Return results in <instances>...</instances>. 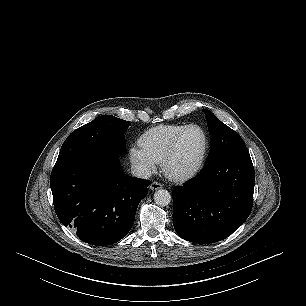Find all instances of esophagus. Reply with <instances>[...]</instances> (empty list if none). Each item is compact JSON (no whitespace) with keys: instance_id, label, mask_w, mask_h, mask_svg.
<instances>
[{"instance_id":"34e87169","label":"esophagus","mask_w":306,"mask_h":306,"mask_svg":"<svg viewBox=\"0 0 306 306\" xmlns=\"http://www.w3.org/2000/svg\"><path fill=\"white\" fill-rule=\"evenodd\" d=\"M161 188H162V184L159 183V182L154 181V182H152V183L150 184V189H151L152 191L158 190V189H161Z\"/></svg>"}]
</instances>
